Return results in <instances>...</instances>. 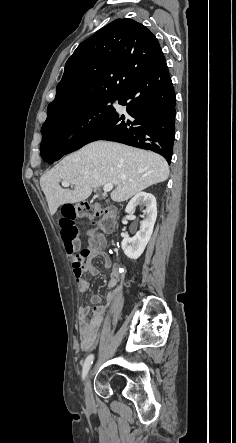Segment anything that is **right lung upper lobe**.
I'll return each instance as SVG.
<instances>
[{
    "instance_id": "obj_1",
    "label": "right lung upper lobe",
    "mask_w": 236,
    "mask_h": 443,
    "mask_svg": "<svg viewBox=\"0 0 236 443\" xmlns=\"http://www.w3.org/2000/svg\"><path fill=\"white\" fill-rule=\"evenodd\" d=\"M163 56L155 35L131 19H117L82 42L65 65L47 118L102 95L119 97Z\"/></svg>"
}]
</instances>
